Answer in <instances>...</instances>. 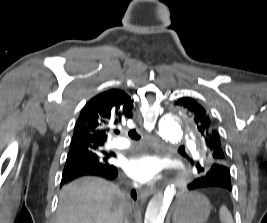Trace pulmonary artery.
Returning a JSON list of instances; mask_svg holds the SVG:
<instances>
[{"instance_id":"e3ab8cb5","label":"pulmonary artery","mask_w":267,"mask_h":223,"mask_svg":"<svg viewBox=\"0 0 267 223\" xmlns=\"http://www.w3.org/2000/svg\"><path fill=\"white\" fill-rule=\"evenodd\" d=\"M131 143L126 138H119L113 142V147L117 149H126L130 147Z\"/></svg>"}]
</instances>
